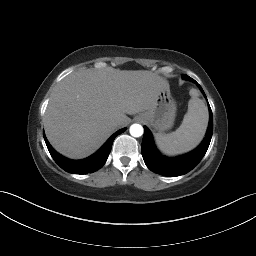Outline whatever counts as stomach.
Segmentation results:
<instances>
[{
	"label": "stomach",
	"instance_id": "0dacf381",
	"mask_svg": "<svg viewBox=\"0 0 256 256\" xmlns=\"http://www.w3.org/2000/svg\"><path fill=\"white\" fill-rule=\"evenodd\" d=\"M176 110V102L171 96L167 83L159 90L151 107L140 113L138 119L151 125L159 132H164L173 126Z\"/></svg>",
	"mask_w": 256,
	"mask_h": 256
}]
</instances>
